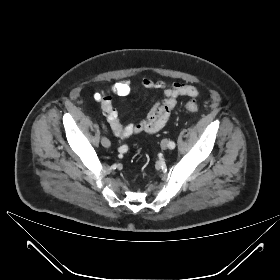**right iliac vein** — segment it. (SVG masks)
<instances>
[{
    "label": "right iliac vein",
    "instance_id": "63e3f726",
    "mask_svg": "<svg viewBox=\"0 0 280 280\" xmlns=\"http://www.w3.org/2000/svg\"><path fill=\"white\" fill-rule=\"evenodd\" d=\"M101 144H102V146H104L105 148H108V147H110V145H111L109 139L106 138V137H102V138H101Z\"/></svg>",
    "mask_w": 280,
    "mask_h": 280
}]
</instances>
